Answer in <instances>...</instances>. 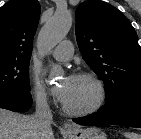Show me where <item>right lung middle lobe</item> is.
I'll return each mask as SVG.
<instances>
[{"label":"right lung middle lobe","instance_id":"dd1d6c3e","mask_svg":"<svg viewBox=\"0 0 141 139\" xmlns=\"http://www.w3.org/2000/svg\"><path fill=\"white\" fill-rule=\"evenodd\" d=\"M29 61V58H0V94L30 92Z\"/></svg>","mask_w":141,"mask_h":139}]
</instances>
